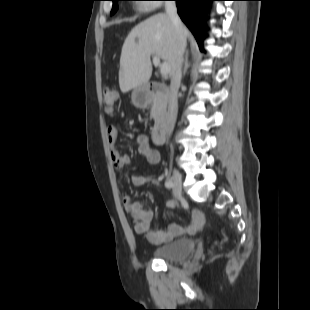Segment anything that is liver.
I'll return each mask as SVG.
<instances>
[{
  "label": "liver",
  "instance_id": "6515ba94",
  "mask_svg": "<svg viewBox=\"0 0 310 310\" xmlns=\"http://www.w3.org/2000/svg\"><path fill=\"white\" fill-rule=\"evenodd\" d=\"M186 39L189 31L183 26ZM178 36L167 14L151 16L135 26L124 41L119 70V86L123 93L144 86L152 74L151 56L169 65L170 75L175 65Z\"/></svg>",
  "mask_w": 310,
  "mask_h": 310
}]
</instances>
